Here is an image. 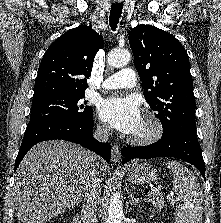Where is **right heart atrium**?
<instances>
[{"label": "right heart atrium", "instance_id": "right-heart-atrium-1", "mask_svg": "<svg viewBox=\"0 0 221 223\" xmlns=\"http://www.w3.org/2000/svg\"><path fill=\"white\" fill-rule=\"evenodd\" d=\"M97 129L100 133H105L108 131V128L104 124H98Z\"/></svg>", "mask_w": 221, "mask_h": 223}]
</instances>
